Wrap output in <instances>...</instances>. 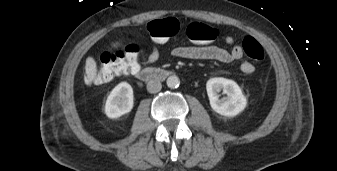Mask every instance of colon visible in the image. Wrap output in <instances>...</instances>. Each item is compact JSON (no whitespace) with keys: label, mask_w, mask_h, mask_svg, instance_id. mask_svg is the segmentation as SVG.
<instances>
[{"label":"colon","mask_w":337,"mask_h":171,"mask_svg":"<svg viewBox=\"0 0 337 171\" xmlns=\"http://www.w3.org/2000/svg\"><path fill=\"white\" fill-rule=\"evenodd\" d=\"M147 29L157 44L166 45L178 34L180 25L176 18L169 17L151 21ZM186 33L189 40L197 44L212 42L218 36L215 27L200 22L190 23ZM242 47L245 54L255 61L260 62L265 57L262 45L252 36L244 37ZM139 55L140 49L134 44L124 50L102 54L98 61V69L86 76V83L99 85L136 72L139 67Z\"/></svg>","instance_id":"1"}]
</instances>
